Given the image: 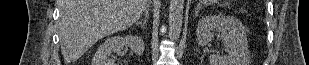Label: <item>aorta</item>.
<instances>
[{"label": "aorta", "instance_id": "762f6f07", "mask_svg": "<svg viewBox=\"0 0 309 65\" xmlns=\"http://www.w3.org/2000/svg\"><path fill=\"white\" fill-rule=\"evenodd\" d=\"M184 0H170L169 6V37L177 40L183 24Z\"/></svg>", "mask_w": 309, "mask_h": 65}]
</instances>
